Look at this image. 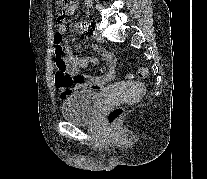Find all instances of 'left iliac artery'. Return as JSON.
I'll return each mask as SVG.
<instances>
[{
	"label": "left iliac artery",
	"mask_w": 207,
	"mask_h": 179,
	"mask_svg": "<svg viewBox=\"0 0 207 179\" xmlns=\"http://www.w3.org/2000/svg\"><path fill=\"white\" fill-rule=\"evenodd\" d=\"M92 25H93V23H91V22H87V23H86V28H87V29H90Z\"/></svg>",
	"instance_id": "obj_1"
}]
</instances>
